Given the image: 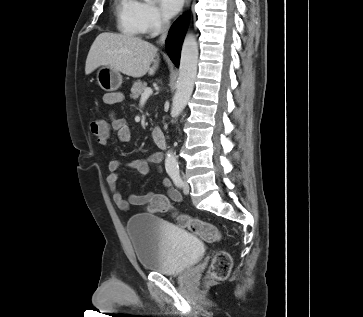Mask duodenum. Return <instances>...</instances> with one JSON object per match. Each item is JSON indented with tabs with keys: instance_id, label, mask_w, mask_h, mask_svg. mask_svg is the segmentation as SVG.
Here are the masks:
<instances>
[{
	"instance_id": "obj_1",
	"label": "duodenum",
	"mask_w": 363,
	"mask_h": 317,
	"mask_svg": "<svg viewBox=\"0 0 363 317\" xmlns=\"http://www.w3.org/2000/svg\"><path fill=\"white\" fill-rule=\"evenodd\" d=\"M153 142L160 148L166 147V140L164 133L161 129L155 128L151 133Z\"/></svg>"
}]
</instances>
